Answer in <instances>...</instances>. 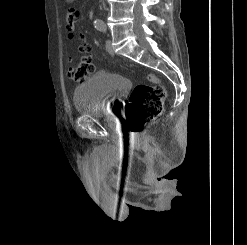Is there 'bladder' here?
<instances>
[{"label":"bladder","mask_w":247,"mask_h":245,"mask_svg":"<svg viewBox=\"0 0 247 245\" xmlns=\"http://www.w3.org/2000/svg\"><path fill=\"white\" fill-rule=\"evenodd\" d=\"M131 85V81L120 74L97 72L75 88L73 95L75 110L82 116L115 113Z\"/></svg>","instance_id":"obj_1"}]
</instances>
